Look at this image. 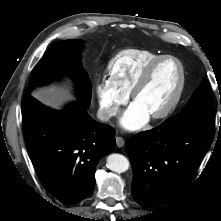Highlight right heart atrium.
<instances>
[{
    "label": "right heart atrium",
    "mask_w": 221,
    "mask_h": 221,
    "mask_svg": "<svg viewBox=\"0 0 221 221\" xmlns=\"http://www.w3.org/2000/svg\"><path fill=\"white\" fill-rule=\"evenodd\" d=\"M99 112L104 119L117 116L126 104L129 94L120 90L110 79L102 78L95 86Z\"/></svg>",
    "instance_id": "d8ad5b80"
}]
</instances>
